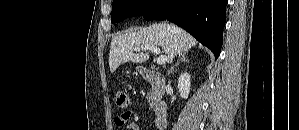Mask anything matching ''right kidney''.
Masks as SVG:
<instances>
[{
	"mask_svg": "<svg viewBox=\"0 0 299 130\" xmlns=\"http://www.w3.org/2000/svg\"><path fill=\"white\" fill-rule=\"evenodd\" d=\"M190 86H191L190 75L187 72L182 73L178 79V90L180 96L183 99L188 98L190 92Z\"/></svg>",
	"mask_w": 299,
	"mask_h": 130,
	"instance_id": "1",
	"label": "right kidney"
}]
</instances>
